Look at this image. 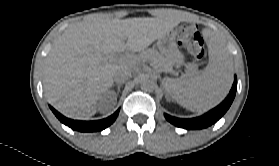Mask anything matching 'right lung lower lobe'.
<instances>
[{
    "mask_svg": "<svg viewBox=\"0 0 279 166\" xmlns=\"http://www.w3.org/2000/svg\"><path fill=\"white\" fill-rule=\"evenodd\" d=\"M55 116L65 125L72 128L73 130L81 131V132H93V131H101L108 126H110L118 116L119 109L108 118L96 121H79V120H71L69 118L64 117L59 112H57L54 108L50 107Z\"/></svg>",
    "mask_w": 279,
    "mask_h": 166,
    "instance_id": "98d812e1",
    "label": "right lung lower lobe"
}]
</instances>
